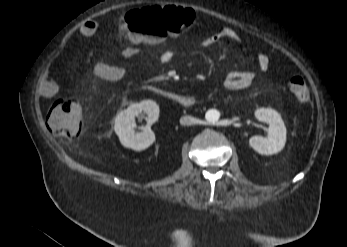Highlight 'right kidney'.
Segmentation results:
<instances>
[{"label":"right kidney","instance_id":"obj_1","mask_svg":"<svg viewBox=\"0 0 347 247\" xmlns=\"http://www.w3.org/2000/svg\"><path fill=\"white\" fill-rule=\"evenodd\" d=\"M148 115V126L142 132L135 133V117L141 112ZM159 106L153 100H144L140 103L131 104L127 109L121 111L115 117L114 130L121 144L126 148L141 151L148 148L155 141V134L150 125L158 120Z\"/></svg>","mask_w":347,"mask_h":247}]
</instances>
